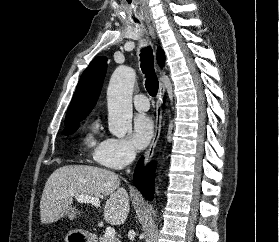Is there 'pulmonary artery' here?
I'll use <instances>...</instances> for the list:
<instances>
[{"instance_id":"1","label":"pulmonary artery","mask_w":279,"mask_h":242,"mask_svg":"<svg viewBox=\"0 0 279 242\" xmlns=\"http://www.w3.org/2000/svg\"><path fill=\"white\" fill-rule=\"evenodd\" d=\"M133 103L138 111H147L150 107L149 100L144 94H138L134 97Z\"/></svg>"}]
</instances>
